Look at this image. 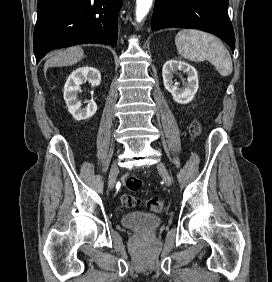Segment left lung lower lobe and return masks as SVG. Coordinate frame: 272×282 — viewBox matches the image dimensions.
Returning <instances> with one entry per match:
<instances>
[{
	"mask_svg": "<svg viewBox=\"0 0 272 282\" xmlns=\"http://www.w3.org/2000/svg\"><path fill=\"white\" fill-rule=\"evenodd\" d=\"M228 0H155L152 30L193 28L215 34L234 52L235 37L227 14Z\"/></svg>",
	"mask_w": 272,
	"mask_h": 282,
	"instance_id": "0a47b994",
	"label": "left lung lower lobe"
}]
</instances>
